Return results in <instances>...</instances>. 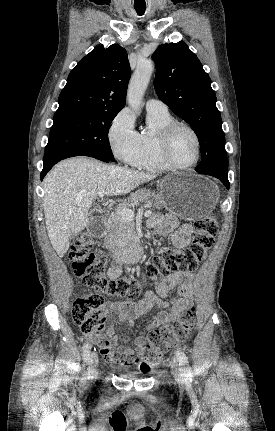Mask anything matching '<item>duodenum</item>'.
Masks as SVG:
<instances>
[{"instance_id": "410a0bca", "label": "duodenum", "mask_w": 275, "mask_h": 431, "mask_svg": "<svg viewBox=\"0 0 275 431\" xmlns=\"http://www.w3.org/2000/svg\"><path fill=\"white\" fill-rule=\"evenodd\" d=\"M106 220L101 218L94 230L96 236H101L103 229L106 227ZM143 243L139 239L127 241L122 247L112 251L113 258L124 264H133L140 260L143 255Z\"/></svg>"}]
</instances>
